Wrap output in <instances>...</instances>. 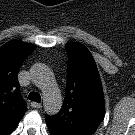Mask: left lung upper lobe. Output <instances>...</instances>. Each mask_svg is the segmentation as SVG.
Instances as JSON below:
<instances>
[{"instance_id": "5c2ea615", "label": "left lung upper lobe", "mask_w": 135, "mask_h": 135, "mask_svg": "<svg viewBox=\"0 0 135 135\" xmlns=\"http://www.w3.org/2000/svg\"><path fill=\"white\" fill-rule=\"evenodd\" d=\"M66 95L60 112L46 116L54 135H92L104 117L105 103L96 63L80 43H67Z\"/></svg>"}]
</instances>
